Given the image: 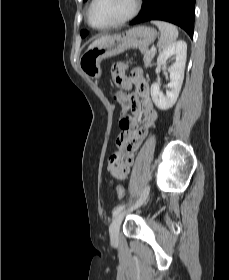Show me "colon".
<instances>
[{
	"instance_id": "colon-1",
	"label": "colon",
	"mask_w": 229,
	"mask_h": 280,
	"mask_svg": "<svg viewBox=\"0 0 229 280\" xmlns=\"http://www.w3.org/2000/svg\"><path fill=\"white\" fill-rule=\"evenodd\" d=\"M129 98L127 95L121 96L122 103H128ZM119 125L122 129H127L131 125V119L129 116L122 114L119 118ZM124 152L118 151L112 153L109 160V170L112 172L123 173L128 170V162L123 160ZM117 194L120 198H123L125 195L124 189L121 186L116 188Z\"/></svg>"
}]
</instances>
